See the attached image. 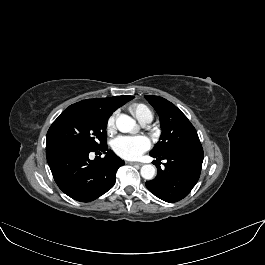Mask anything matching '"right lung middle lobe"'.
Returning a JSON list of instances; mask_svg holds the SVG:
<instances>
[{
    "label": "right lung middle lobe",
    "mask_w": 265,
    "mask_h": 265,
    "mask_svg": "<svg viewBox=\"0 0 265 265\" xmlns=\"http://www.w3.org/2000/svg\"><path fill=\"white\" fill-rule=\"evenodd\" d=\"M109 116L87 105L73 104L50 126L46 148L77 147L96 150L106 146Z\"/></svg>",
    "instance_id": "right-lung-middle-lobe-1"
}]
</instances>
